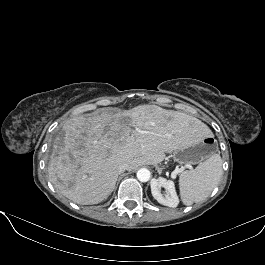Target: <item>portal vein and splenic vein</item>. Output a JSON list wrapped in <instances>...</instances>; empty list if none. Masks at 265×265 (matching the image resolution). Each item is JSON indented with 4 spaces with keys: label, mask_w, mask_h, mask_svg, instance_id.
<instances>
[{
    "label": "portal vein and splenic vein",
    "mask_w": 265,
    "mask_h": 265,
    "mask_svg": "<svg viewBox=\"0 0 265 265\" xmlns=\"http://www.w3.org/2000/svg\"><path fill=\"white\" fill-rule=\"evenodd\" d=\"M185 168H189V169H191V166L190 165H186V166H184Z\"/></svg>",
    "instance_id": "1"
}]
</instances>
